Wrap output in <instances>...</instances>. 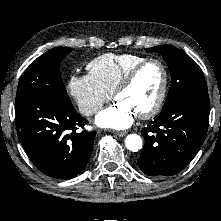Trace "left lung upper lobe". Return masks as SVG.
Wrapping results in <instances>:
<instances>
[{"label":"left lung upper lobe","instance_id":"obj_1","mask_svg":"<svg viewBox=\"0 0 221 221\" xmlns=\"http://www.w3.org/2000/svg\"><path fill=\"white\" fill-rule=\"evenodd\" d=\"M146 50L160 53L170 69L172 83L162 111L189 95L208 92L201 68L181 50L170 45H160Z\"/></svg>","mask_w":221,"mask_h":221}]
</instances>
